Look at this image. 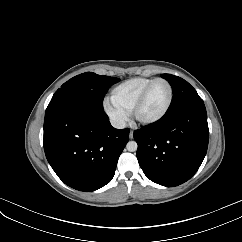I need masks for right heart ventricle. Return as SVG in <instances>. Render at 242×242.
Wrapping results in <instances>:
<instances>
[{
	"mask_svg": "<svg viewBox=\"0 0 242 242\" xmlns=\"http://www.w3.org/2000/svg\"><path fill=\"white\" fill-rule=\"evenodd\" d=\"M152 80L154 79L137 77L124 81L112 90V103L127 114L130 113L135 101Z\"/></svg>",
	"mask_w": 242,
	"mask_h": 242,
	"instance_id": "obj_1",
	"label": "right heart ventricle"
}]
</instances>
